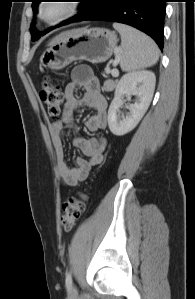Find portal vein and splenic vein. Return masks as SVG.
<instances>
[{"instance_id": "18ae733b", "label": "portal vein and splenic vein", "mask_w": 195, "mask_h": 299, "mask_svg": "<svg viewBox=\"0 0 195 299\" xmlns=\"http://www.w3.org/2000/svg\"><path fill=\"white\" fill-rule=\"evenodd\" d=\"M111 74H112L113 77H118L119 72L116 68H114V69H112Z\"/></svg>"}]
</instances>
